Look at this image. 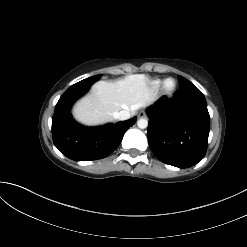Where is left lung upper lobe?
Here are the masks:
<instances>
[{
    "instance_id": "1",
    "label": "left lung upper lobe",
    "mask_w": 247,
    "mask_h": 247,
    "mask_svg": "<svg viewBox=\"0 0 247 247\" xmlns=\"http://www.w3.org/2000/svg\"><path fill=\"white\" fill-rule=\"evenodd\" d=\"M179 79V84L180 86H184L187 84H192L189 80H187L186 78L182 77V76H178Z\"/></svg>"
}]
</instances>
